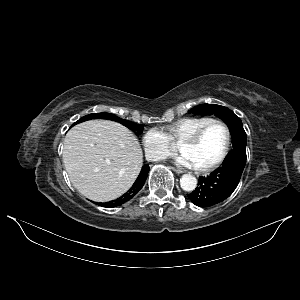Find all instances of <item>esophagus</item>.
<instances>
[{
	"instance_id": "1",
	"label": "esophagus",
	"mask_w": 300,
	"mask_h": 300,
	"mask_svg": "<svg viewBox=\"0 0 300 300\" xmlns=\"http://www.w3.org/2000/svg\"><path fill=\"white\" fill-rule=\"evenodd\" d=\"M170 169L172 170V171H174V172H176V173H183V171L181 170V169H179V168H175V167H170Z\"/></svg>"
}]
</instances>
